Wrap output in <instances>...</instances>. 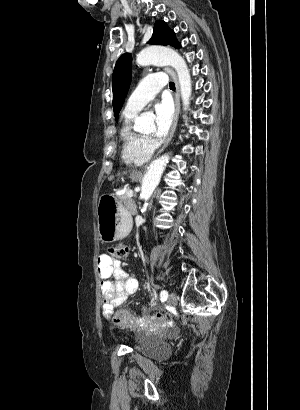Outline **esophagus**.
<instances>
[{
  "mask_svg": "<svg viewBox=\"0 0 300 410\" xmlns=\"http://www.w3.org/2000/svg\"><path fill=\"white\" fill-rule=\"evenodd\" d=\"M165 70L171 76V78L173 79V81L175 83V87H176V91H175V114H174V120H173L171 129H170L169 136H168L167 140L165 141V143L163 144V146L161 147V149L159 150L158 154H160L168 146V144L172 140L173 135H174L175 130H176V127H177L179 114H180V90H179L178 78L176 76V73L171 68H165ZM141 172L142 171H138V173H141Z\"/></svg>",
  "mask_w": 300,
  "mask_h": 410,
  "instance_id": "esophagus-1",
  "label": "esophagus"
}]
</instances>
